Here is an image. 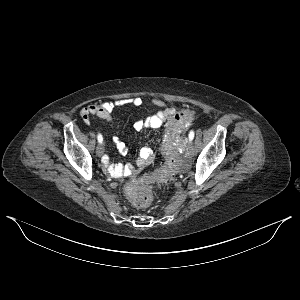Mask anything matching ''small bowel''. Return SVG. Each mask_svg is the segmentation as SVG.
Instances as JSON below:
<instances>
[{"mask_svg":"<svg viewBox=\"0 0 300 300\" xmlns=\"http://www.w3.org/2000/svg\"><path fill=\"white\" fill-rule=\"evenodd\" d=\"M133 105L135 107H139L142 104V100L138 97L135 98H129V99H117L114 101L104 102V103H98V104H91L81 109L80 116L83 120V122L88 125L90 123V118L92 116H98L105 120H111L112 118V112L115 108L124 106V105ZM154 104L159 107V110L145 118V119H139L134 122L133 128L136 131H140L144 128H159L161 127L167 118L173 113V109L167 107L164 102L160 100H155ZM114 144L117 148V150L125 154L127 152V146L124 142L120 140H114ZM154 160V152L149 147H143L139 151V156L136 160V166L138 167H144L150 165ZM102 164L104 169L114 177H122V176H128L133 173L135 170V167L131 164H121L117 163L114 164L110 161L108 156H104L102 159Z\"/></svg>","mask_w":300,"mask_h":300,"instance_id":"c3829d8e","label":"small bowel"}]
</instances>
